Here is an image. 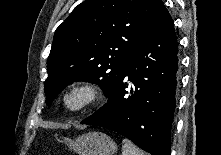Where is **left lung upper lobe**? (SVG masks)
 I'll return each mask as SVG.
<instances>
[{"label":"left lung upper lobe","mask_w":221,"mask_h":155,"mask_svg":"<svg viewBox=\"0 0 221 155\" xmlns=\"http://www.w3.org/2000/svg\"><path fill=\"white\" fill-rule=\"evenodd\" d=\"M161 0H85L56 29L47 61L46 104L74 81L108 97L133 50L157 20Z\"/></svg>","instance_id":"obj_1"}]
</instances>
